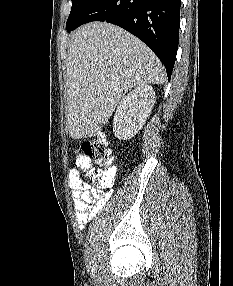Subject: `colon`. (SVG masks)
Listing matches in <instances>:
<instances>
[{"instance_id": "5ec220e1", "label": "colon", "mask_w": 233, "mask_h": 286, "mask_svg": "<svg viewBox=\"0 0 233 286\" xmlns=\"http://www.w3.org/2000/svg\"><path fill=\"white\" fill-rule=\"evenodd\" d=\"M84 156L94 162L98 168L88 172V182L92 187L104 190L112 186L115 173L113 170V153L103 135H97L82 143Z\"/></svg>"}]
</instances>
